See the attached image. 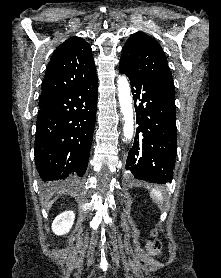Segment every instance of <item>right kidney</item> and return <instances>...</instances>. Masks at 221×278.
Listing matches in <instances>:
<instances>
[{"label": "right kidney", "mask_w": 221, "mask_h": 278, "mask_svg": "<svg viewBox=\"0 0 221 278\" xmlns=\"http://www.w3.org/2000/svg\"><path fill=\"white\" fill-rule=\"evenodd\" d=\"M75 214L73 211H65L58 215L53 223L52 230L57 235H64L70 231L74 223Z\"/></svg>", "instance_id": "right-kidney-1"}]
</instances>
